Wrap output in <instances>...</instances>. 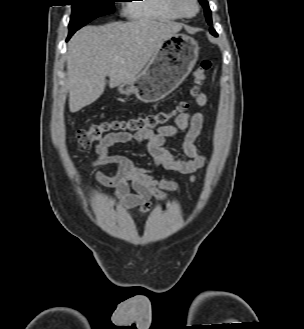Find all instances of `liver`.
Returning <instances> with one entry per match:
<instances>
[{"label": "liver", "instance_id": "obj_1", "mask_svg": "<svg viewBox=\"0 0 304 329\" xmlns=\"http://www.w3.org/2000/svg\"><path fill=\"white\" fill-rule=\"evenodd\" d=\"M181 29L179 23L140 19L77 31L66 55L70 111L95 102L107 76L111 88L134 80L160 44Z\"/></svg>", "mask_w": 304, "mask_h": 329}]
</instances>
